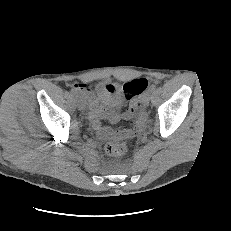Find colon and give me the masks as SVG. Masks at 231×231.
Listing matches in <instances>:
<instances>
[{
	"label": "colon",
	"mask_w": 231,
	"mask_h": 231,
	"mask_svg": "<svg viewBox=\"0 0 231 231\" xmlns=\"http://www.w3.org/2000/svg\"><path fill=\"white\" fill-rule=\"evenodd\" d=\"M148 81L146 79H135L123 85L122 92L130 102V109L136 110L139 106L138 97L146 89ZM105 151L111 156H123L128 151V146L123 141H113L106 145Z\"/></svg>",
	"instance_id": "1"
}]
</instances>
